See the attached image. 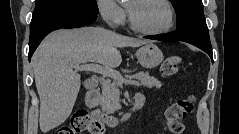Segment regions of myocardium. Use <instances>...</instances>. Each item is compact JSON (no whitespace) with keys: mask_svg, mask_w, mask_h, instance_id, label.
I'll return each mask as SVG.
<instances>
[{"mask_svg":"<svg viewBox=\"0 0 239 134\" xmlns=\"http://www.w3.org/2000/svg\"><path fill=\"white\" fill-rule=\"evenodd\" d=\"M138 1H141V0H138ZM155 1L162 3L168 11V21H167L166 25L164 27H162L160 29H156V30L142 28L135 23V21L133 20V18L131 16L130 10L127 8L129 26L133 31L140 33V34H144V35L157 36V35H162V34L167 33L173 27L174 21H175V14H174V9H173L171 3L167 0H155Z\"/></svg>","mask_w":239,"mask_h":134,"instance_id":"1","label":"myocardium"}]
</instances>
